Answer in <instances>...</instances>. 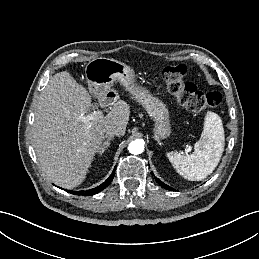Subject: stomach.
<instances>
[{
	"label": "stomach",
	"instance_id": "stomach-1",
	"mask_svg": "<svg viewBox=\"0 0 259 259\" xmlns=\"http://www.w3.org/2000/svg\"><path fill=\"white\" fill-rule=\"evenodd\" d=\"M89 90L98 94L107 91L118 81L138 102L154 122L153 133L156 140L171 134L170 113L166 104L153 96L149 90L136 83L134 70L123 62L110 58H95L85 67Z\"/></svg>",
	"mask_w": 259,
	"mask_h": 259
}]
</instances>
